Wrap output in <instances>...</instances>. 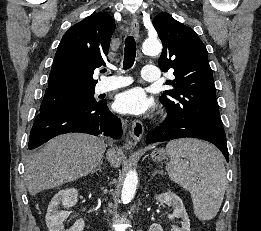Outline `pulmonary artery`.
<instances>
[{
	"mask_svg": "<svg viewBox=\"0 0 261 231\" xmlns=\"http://www.w3.org/2000/svg\"><path fill=\"white\" fill-rule=\"evenodd\" d=\"M158 68L155 66L147 65L143 67L142 79L148 82L158 81ZM130 83L128 77H108L103 79L99 85L100 92H107L121 87H125Z\"/></svg>",
	"mask_w": 261,
	"mask_h": 231,
	"instance_id": "pulmonary-artery-1",
	"label": "pulmonary artery"
}]
</instances>
